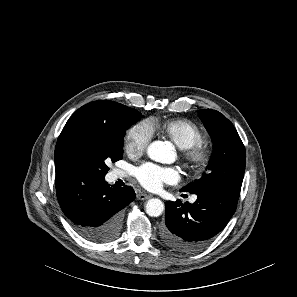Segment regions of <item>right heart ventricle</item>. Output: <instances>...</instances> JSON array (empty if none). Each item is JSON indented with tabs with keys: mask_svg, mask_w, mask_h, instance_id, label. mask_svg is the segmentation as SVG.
Listing matches in <instances>:
<instances>
[{
	"mask_svg": "<svg viewBox=\"0 0 297 297\" xmlns=\"http://www.w3.org/2000/svg\"><path fill=\"white\" fill-rule=\"evenodd\" d=\"M149 124L153 132L158 130L180 149L189 148L205 140L204 131L188 119H171L161 124L150 121Z\"/></svg>",
	"mask_w": 297,
	"mask_h": 297,
	"instance_id": "obj_1",
	"label": "right heart ventricle"
}]
</instances>
